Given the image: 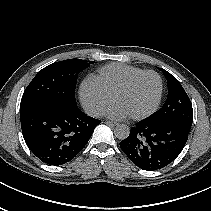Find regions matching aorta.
I'll return each instance as SVG.
<instances>
[{
	"instance_id": "obj_1",
	"label": "aorta",
	"mask_w": 211,
	"mask_h": 211,
	"mask_svg": "<svg viewBox=\"0 0 211 211\" xmlns=\"http://www.w3.org/2000/svg\"><path fill=\"white\" fill-rule=\"evenodd\" d=\"M130 134V129L127 125L125 124H119L116 126L114 130V135L116 138L120 140L126 139Z\"/></svg>"
}]
</instances>
